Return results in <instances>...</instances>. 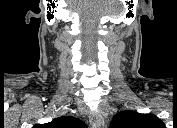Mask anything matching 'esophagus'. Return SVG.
Wrapping results in <instances>:
<instances>
[{"instance_id":"1","label":"esophagus","mask_w":177,"mask_h":128,"mask_svg":"<svg viewBox=\"0 0 177 128\" xmlns=\"http://www.w3.org/2000/svg\"><path fill=\"white\" fill-rule=\"evenodd\" d=\"M90 124L92 128H104V119L99 112L90 115Z\"/></svg>"}]
</instances>
